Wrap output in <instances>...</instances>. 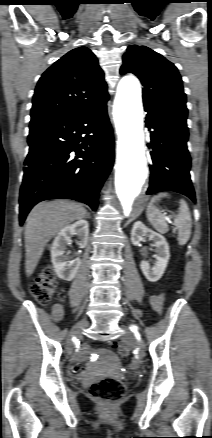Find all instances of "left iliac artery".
I'll list each match as a JSON object with an SVG mask.
<instances>
[{"instance_id":"left-iliac-artery-1","label":"left iliac artery","mask_w":212,"mask_h":438,"mask_svg":"<svg viewBox=\"0 0 212 438\" xmlns=\"http://www.w3.org/2000/svg\"><path fill=\"white\" fill-rule=\"evenodd\" d=\"M130 329H131L132 332H136L138 328H137V326L132 325V326L130 327Z\"/></svg>"}]
</instances>
